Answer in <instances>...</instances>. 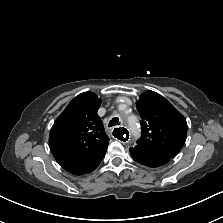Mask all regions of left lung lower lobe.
<instances>
[{
	"instance_id": "left-lung-lower-lobe-1",
	"label": "left lung lower lobe",
	"mask_w": 223,
	"mask_h": 223,
	"mask_svg": "<svg viewBox=\"0 0 223 223\" xmlns=\"http://www.w3.org/2000/svg\"><path fill=\"white\" fill-rule=\"evenodd\" d=\"M132 158L147 167H159L167 163L171 157L135 146L130 148Z\"/></svg>"
}]
</instances>
